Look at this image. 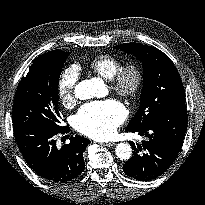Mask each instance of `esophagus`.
Segmentation results:
<instances>
[{"mask_svg": "<svg viewBox=\"0 0 205 205\" xmlns=\"http://www.w3.org/2000/svg\"><path fill=\"white\" fill-rule=\"evenodd\" d=\"M102 145L107 146V147H112V146H115L116 143L115 142H106V143H102Z\"/></svg>", "mask_w": 205, "mask_h": 205, "instance_id": "esophagus-1", "label": "esophagus"}]
</instances>
